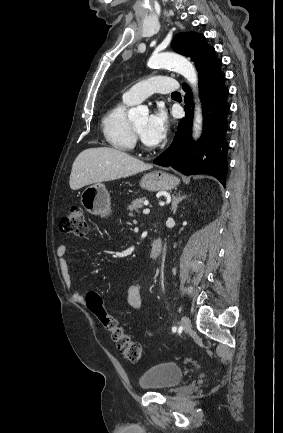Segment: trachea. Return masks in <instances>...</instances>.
I'll return each instance as SVG.
<instances>
[{
  "mask_svg": "<svg viewBox=\"0 0 283 433\" xmlns=\"http://www.w3.org/2000/svg\"><path fill=\"white\" fill-rule=\"evenodd\" d=\"M172 95H180L179 92H173Z\"/></svg>",
  "mask_w": 283,
  "mask_h": 433,
  "instance_id": "obj_1",
  "label": "trachea"
}]
</instances>
